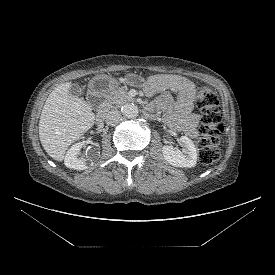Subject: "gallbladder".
<instances>
[{
    "label": "gallbladder",
    "instance_id": "obj_1",
    "mask_svg": "<svg viewBox=\"0 0 275 275\" xmlns=\"http://www.w3.org/2000/svg\"><path fill=\"white\" fill-rule=\"evenodd\" d=\"M69 93L73 97H79L82 94V89L78 84H72L69 88Z\"/></svg>",
    "mask_w": 275,
    "mask_h": 275
}]
</instances>
